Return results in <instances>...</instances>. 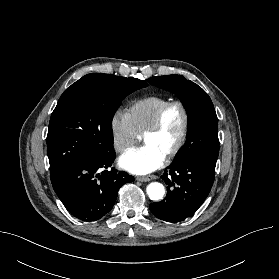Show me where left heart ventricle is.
Here are the masks:
<instances>
[{
    "instance_id": "obj_1",
    "label": "left heart ventricle",
    "mask_w": 279,
    "mask_h": 279,
    "mask_svg": "<svg viewBox=\"0 0 279 279\" xmlns=\"http://www.w3.org/2000/svg\"><path fill=\"white\" fill-rule=\"evenodd\" d=\"M182 126V112L178 106H173L165 114L161 128L148 135L144 141L166 156L177 143Z\"/></svg>"
}]
</instances>
